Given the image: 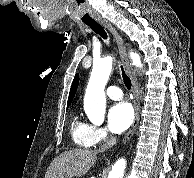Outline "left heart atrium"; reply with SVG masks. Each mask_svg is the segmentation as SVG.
<instances>
[{"label": "left heart atrium", "mask_w": 194, "mask_h": 178, "mask_svg": "<svg viewBox=\"0 0 194 178\" xmlns=\"http://www.w3.org/2000/svg\"><path fill=\"white\" fill-rule=\"evenodd\" d=\"M133 118V109L128 103H117L109 109L108 127L113 133H122L130 127Z\"/></svg>", "instance_id": "39dd6f15"}]
</instances>
